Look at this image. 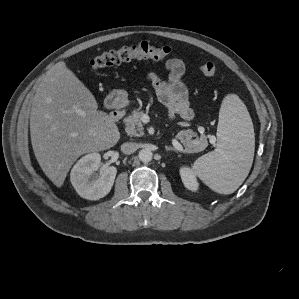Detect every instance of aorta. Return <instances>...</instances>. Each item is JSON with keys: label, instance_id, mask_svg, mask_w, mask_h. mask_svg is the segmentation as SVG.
<instances>
[{"label": "aorta", "instance_id": "762f6f07", "mask_svg": "<svg viewBox=\"0 0 299 299\" xmlns=\"http://www.w3.org/2000/svg\"><path fill=\"white\" fill-rule=\"evenodd\" d=\"M139 159L144 162V163H147V162H150L153 158V153L151 150L149 149H142L140 150L139 152Z\"/></svg>", "mask_w": 299, "mask_h": 299}]
</instances>
